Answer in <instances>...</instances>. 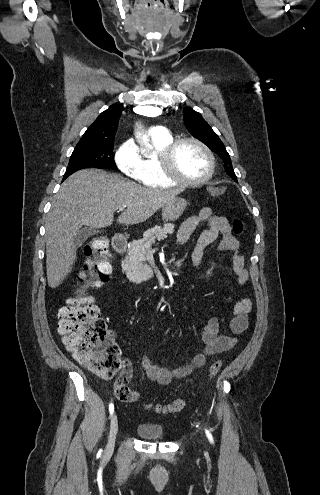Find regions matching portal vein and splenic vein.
Returning <instances> with one entry per match:
<instances>
[{"label": "portal vein and splenic vein", "mask_w": 320, "mask_h": 495, "mask_svg": "<svg viewBox=\"0 0 320 495\" xmlns=\"http://www.w3.org/2000/svg\"><path fill=\"white\" fill-rule=\"evenodd\" d=\"M125 207H120L119 208V211H123Z\"/></svg>", "instance_id": "18ae733b"}]
</instances>
